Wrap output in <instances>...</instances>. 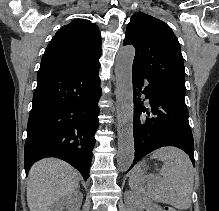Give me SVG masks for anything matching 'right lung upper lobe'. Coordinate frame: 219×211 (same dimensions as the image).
<instances>
[{"mask_svg": "<svg viewBox=\"0 0 219 211\" xmlns=\"http://www.w3.org/2000/svg\"><path fill=\"white\" fill-rule=\"evenodd\" d=\"M101 35L98 27L86 20L63 26L47 46L39 71L92 68L99 64Z\"/></svg>", "mask_w": 219, "mask_h": 211, "instance_id": "obj_1", "label": "right lung upper lobe"}]
</instances>
